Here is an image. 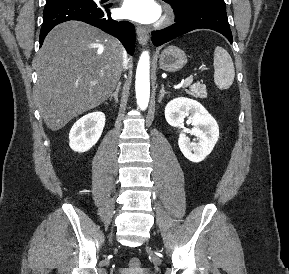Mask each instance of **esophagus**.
<instances>
[{"instance_id":"1","label":"esophagus","mask_w":289,"mask_h":274,"mask_svg":"<svg viewBox=\"0 0 289 274\" xmlns=\"http://www.w3.org/2000/svg\"><path fill=\"white\" fill-rule=\"evenodd\" d=\"M136 33H137V38H138L139 43L142 46H145L148 42V39H149L148 30L146 28L138 25L136 27Z\"/></svg>"}]
</instances>
